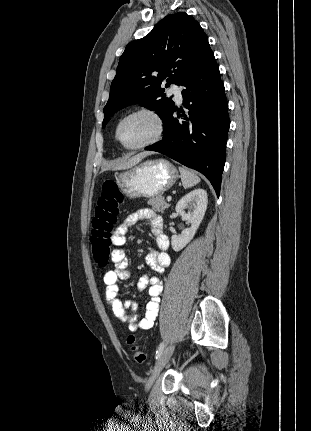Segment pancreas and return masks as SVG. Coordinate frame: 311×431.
Returning <instances> with one entry per match:
<instances>
[{
  "mask_svg": "<svg viewBox=\"0 0 311 431\" xmlns=\"http://www.w3.org/2000/svg\"><path fill=\"white\" fill-rule=\"evenodd\" d=\"M148 204L154 212H164L165 208H169V204H166L162 194H160V196H156V198H150V200H148Z\"/></svg>",
  "mask_w": 311,
  "mask_h": 431,
  "instance_id": "cf45deb5",
  "label": "pancreas"
}]
</instances>
